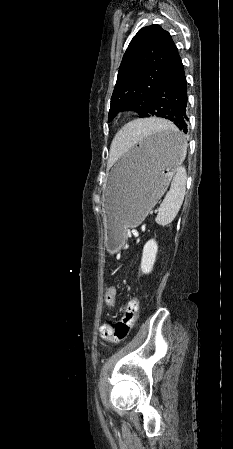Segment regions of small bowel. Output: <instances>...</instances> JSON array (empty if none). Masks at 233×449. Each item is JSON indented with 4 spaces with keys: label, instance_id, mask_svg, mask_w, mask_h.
I'll return each mask as SVG.
<instances>
[{
    "label": "small bowel",
    "instance_id": "small-bowel-1",
    "mask_svg": "<svg viewBox=\"0 0 233 449\" xmlns=\"http://www.w3.org/2000/svg\"><path fill=\"white\" fill-rule=\"evenodd\" d=\"M105 326H106V324L102 325V326H101V330H102Z\"/></svg>",
    "mask_w": 233,
    "mask_h": 449
}]
</instances>
